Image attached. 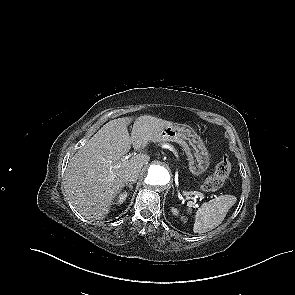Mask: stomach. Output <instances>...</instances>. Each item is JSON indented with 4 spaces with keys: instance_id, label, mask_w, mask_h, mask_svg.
Here are the masks:
<instances>
[{
    "instance_id": "1",
    "label": "stomach",
    "mask_w": 295,
    "mask_h": 295,
    "mask_svg": "<svg viewBox=\"0 0 295 295\" xmlns=\"http://www.w3.org/2000/svg\"><path fill=\"white\" fill-rule=\"evenodd\" d=\"M153 142H176L180 144L188 160L189 171L200 176L210 165L208 151L196 132L185 124H173L160 128L153 136Z\"/></svg>"
}]
</instances>
